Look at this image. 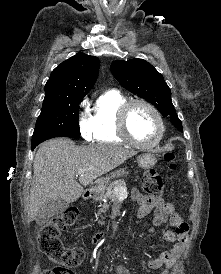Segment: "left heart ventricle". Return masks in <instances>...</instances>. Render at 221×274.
Segmentation results:
<instances>
[{
	"label": "left heart ventricle",
	"instance_id": "left-heart-ventricle-1",
	"mask_svg": "<svg viewBox=\"0 0 221 274\" xmlns=\"http://www.w3.org/2000/svg\"><path fill=\"white\" fill-rule=\"evenodd\" d=\"M128 127L134 139L152 143L159 132L158 122L153 113L142 105H135L128 116Z\"/></svg>",
	"mask_w": 221,
	"mask_h": 274
}]
</instances>
